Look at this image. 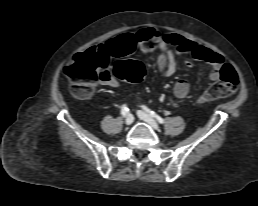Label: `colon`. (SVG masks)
<instances>
[{"label":"colon","mask_w":258,"mask_h":206,"mask_svg":"<svg viewBox=\"0 0 258 206\" xmlns=\"http://www.w3.org/2000/svg\"><path fill=\"white\" fill-rule=\"evenodd\" d=\"M111 73L121 80L138 83L144 78L145 70L140 61L127 60L117 62L111 71L109 56L92 48L75 55L65 67L71 93L80 99L90 96L94 86L99 81L109 79ZM238 85L237 72L231 65L225 64L221 68L219 81L200 95L197 102L205 103L229 96L237 90Z\"/></svg>","instance_id":"obj_1"}]
</instances>
